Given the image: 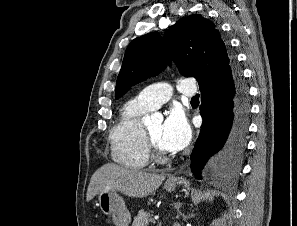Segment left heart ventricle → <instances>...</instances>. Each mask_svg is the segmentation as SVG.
I'll use <instances>...</instances> for the list:
<instances>
[{
    "mask_svg": "<svg viewBox=\"0 0 297 226\" xmlns=\"http://www.w3.org/2000/svg\"><path fill=\"white\" fill-rule=\"evenodd\" d=\"M162 123H156L149 127H147V130L152 138V140L155 142V144L159 147L160 150L164 151L160 146V137L162 133Z\"/></svg>",
    "mask_w": 297,
    "mask_h": 226,
    "instance_id": "1",
    "label": "left heart ventricle"
}]
</instances>
